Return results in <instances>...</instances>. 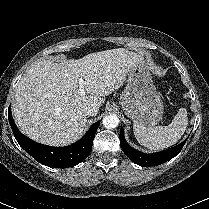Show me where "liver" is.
<instances>
[{
	"instance_id": "6515ba94",
	"label": "liver",
	"mask_w": 209,
	"mask_h": 209,
	"mask_svg": "<svg viewBox=\"0 0 209 209\" xmlns=\"http://www.w3.org/2000/svg\"><path fill=\"white\" fill-rule=\"evenodd\" d=\"M143 61L141 54L123 48L88 54L60 63L42 60L20 80L12 113L20 131L42 144L69 145L82 135L84 108L99 109L103 97L118 89L128 72ZM89 95L78 93L79 79Z\"/></svg>"
}]
</instances>
